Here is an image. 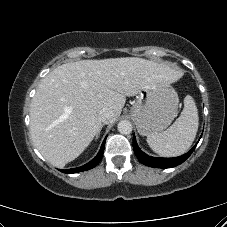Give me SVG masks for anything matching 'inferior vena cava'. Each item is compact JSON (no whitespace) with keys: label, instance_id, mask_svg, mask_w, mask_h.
<instances>
[{"label":"inferior vena cava","instance_id":"inferior-vena-cava-1","mask_svg":"<svg viewBox=\"0 0 227 227\" xmlns=\"http://www.w3.org/2000/svg\"><path fill=\"white\" fill-rule=\"evenodd\" d=\"M113 116H114L113 112L109 109H103L100 113L101 121L104 124L110 123Z\"/></svg>","mask_w":227,"mask_h":227}]
</instances>
